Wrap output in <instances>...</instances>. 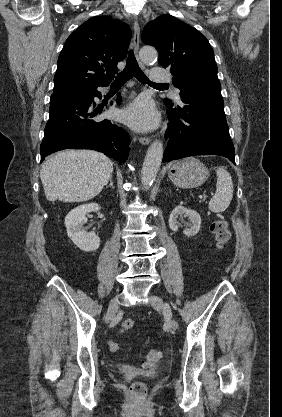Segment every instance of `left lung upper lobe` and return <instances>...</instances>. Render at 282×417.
<instances>
[{
    "mask_svg": "<svg viewBox=\"0 0 282 417\" xmlns=\"http://www.w3.org/2000/svg\"><path fill=\"white\" fill-rule=\"evenodd\" d=\"M142 41L158 50L159 63L170 69L180 95L193 85L221 88L214 51L194 27L171 15H161L144 27ZM165 103L171 100L165 99Z\"/></svg>",
    "mask_w": 282,
    "mask_h": 417,
    "instance_id": "obj_1",
    "label": "left lung upper lobe"
}]
</instances>
